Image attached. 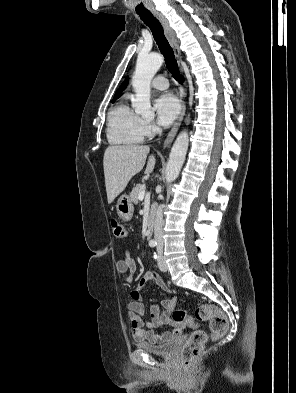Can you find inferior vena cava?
I'll use <instances>...</instances> for the list:
<instances>
[{
  "instance_id": "1",
  "label": "inferior vena cava",
  "mask_w": 296,
  "mask_h": 393,
  "mask_svg": "<svg viewBox=\"0 0 296 393\" xmlns=\"http://www.w3.org/2000/svg\"><path fill=\"white\" fill-rule=\"evenodd\" d=\"M156 132L161 133V129L159 127H155L154 129ZM162 205H159L156 216H155V222H154V237L157 241V248L162 249L163 248V236H162V229H163V211H162Z\"/></svg>"
}]
</instances>
